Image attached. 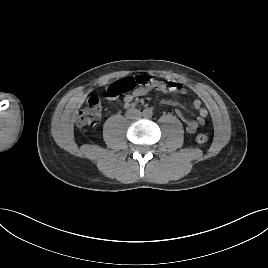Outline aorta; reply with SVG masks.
Returning a JSON list of instances; mask_svg holds the SVG:
<instances>
[{
  "mask_svg": "<svg viewBox=\"0 0 268 268\" xmlns=\"http://www.w3.org/2000/svg\"><path fill=\"white\" fill-rule=\"evenodd\" d=\"M144 116L145 117H151L152 116V110H150V109L144 110Z\"/></svg>",
  "mask_w": 268,
  "mask_h": 268,
  "instance_id": "1",
  "label": "aorta"
}]
</instances>
